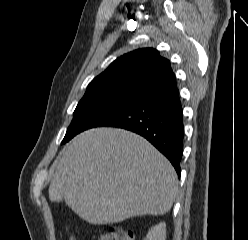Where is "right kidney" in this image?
Here are the masks:
<instances>
[{
    "instance_id": "right-kidney-1",
    "label": "right kidney",
    "mask_w": 248,
    "mask_h": 240,
    "mask_svg": "<svg viewBox=\"0 0 248 240\" xmlns=\"http://www.w3.org/2000/svg\"><path fill=\"white\" fill-rule=\"evenodd\" d=\"M166 239V224L159 223L149 230L145 240H165Z\"/></svg>"
}]
</instances>
